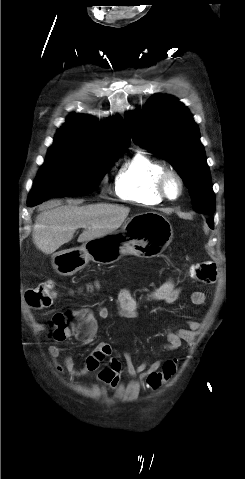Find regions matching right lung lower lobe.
I'll use <instances>...</instances> for the list:
<instances>
[{"instance_id":"98d812e1","label":"right lung lower lobe","mask_w":245,"mask_h":479,"mask_svg":"<svg viewBox=\"0 0 245 479\" xmlns=\"http://www.w3.org/2000/svg\"><path fill=\"white\" fill-rule=\"evenodd\" d=\"M30 207L34 206L33 204H28Z\"/></svg>"}]
</instances>
